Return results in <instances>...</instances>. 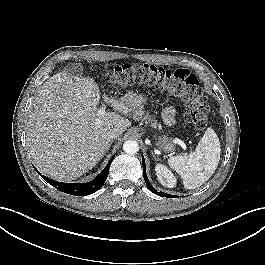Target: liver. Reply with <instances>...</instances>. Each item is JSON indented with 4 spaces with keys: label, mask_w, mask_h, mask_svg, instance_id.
Wrapping results in <instances>:
<instances>
[{
    "label": "liver",
    "mask_w": 265,
    "mask_h": 265,
    "mask_svg": "<svg viewBox=\"0 0 265 265\" xmlns=\"http://www.w3.org/2000/svg\"><path fill=\"white\" fill-rule=\"evenodd\" d=\"M104 100L123 114L135 107L129 97ZM98 84L64 70L39 90L29 114L27 144L37 168L46 176L69 182L92 169L110 147L108 131L118 136L131 122L115 112L97 116Z\"/></svg>",
    "instance_id": "liver-1"
}]
</instances>
